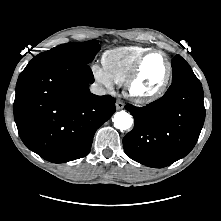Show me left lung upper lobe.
Wrapping results in <instances>:
<instances>
[{"instance_id": "obj_1", "label": "left lung upper lobe", "mask_w": 221, "mask_h": 221, "mask_svg": "<svg viewBox=\"0 0 221 221\" xmlns=\"http://www.w3.org/2000/svg\"><path fill=\"white\" fill-rule=\"evenodd\" d=\"M172 70V81L188 74H194L190 65L179 55H176L172 60Z\"/></svg>"}]
</instances>
